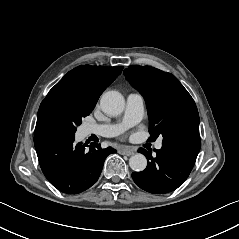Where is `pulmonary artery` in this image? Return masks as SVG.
Wrapping results in <instances>:
<instances>
[{
	"label": "pulmonary artery",
	"mask_w": 239,
	"mask_h": 239,
	"mask_svg": "<svg viewBox=\"0 0 239 239\" xmlns=\"http://www.w3.org/2000/svg\"><path fill=\"white\" fill-rule=\"evenodd\" d=\"M144 115V98L138 92H130L127 95L124 119L121 124H87L85 125V134H96L102 137H114L120 134L124 129L140 122ZM162 139L156 143V148L161 149Z\"/></svg>",
	"instance_id": "1"
}]
</instances>
